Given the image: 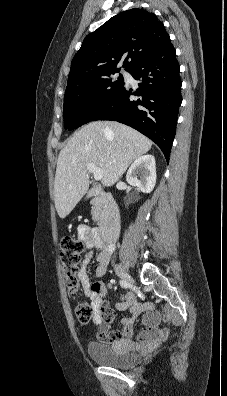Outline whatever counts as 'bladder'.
Masks as SVG:
<instances>
[{
    "instance_id": "1",
    "label": "bladder",
    "mask_w": 227,
    "mask_h": 396,
    "mask_svg": "<svg viewBox=\"0 0 227 396\" xmlns=\"http://www.w3.org/2000/svg\"><path fill=\"white\" fill-rule=\"evenodd\" d=\"M87 353L94 362L117 369L129 368L139 359V354L125 342H90Z\"/></svg>"
}]
</instances>
